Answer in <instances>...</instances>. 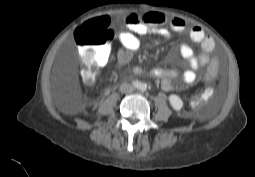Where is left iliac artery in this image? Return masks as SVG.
Wrapping results in <instances>:
<instances>
[{
    "label": "left iliac artery",
    "instance_id": "1",
    "mask_svg": "<svg viewBox=\"0 0 255 177\" xmlns=\"http://www.w3.org/2000/svg\"><path fill=\"white\" fill-rule=\"evenodd\" d=\"M145 89H146V86L143 85V86H142V90H145Z\"/></svg>",
    "mask_w": 255,
    "mask_h": 177
}]
</instances>
